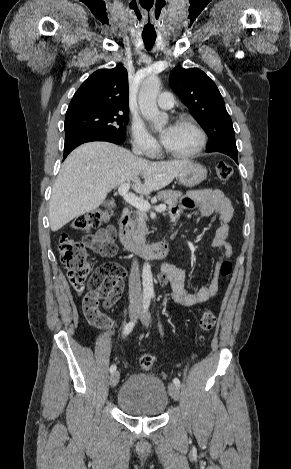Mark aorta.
Here are the masks:
<instances>
[{"instance_id": "aorta-1", "label": "aorta", "mask_w": 291, "mask_h": 469, "mask_svg": "<svg viewBox=\"0 0 291 469\" xmlns=\"http://www.w3.org/2000/svg\"><path fill=\"white\" fill-rule=\"evenodd\" d=\"M160 79L157 76L148 77L141 85L138 102L142 116L153 122L155 128H161L168 122L166 113L159 111L157 96L160 91ZM142 284L145 294H154L153 278L149 263H145L142 269Z\"/></svg>"}]
</instances>
